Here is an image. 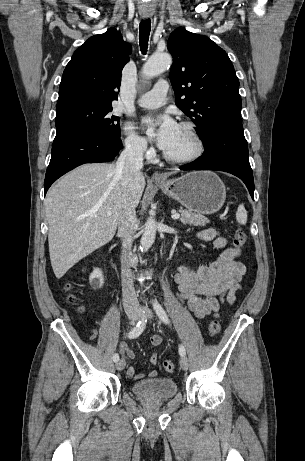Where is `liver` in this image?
<instances>
[{
    "label": "liver",
    "instance_id": "1",
    "mask_svg": "<svg viewBox=\"0 0 305 461\" xmlns=\"http://www.w3.org/2000/svg\"><path fill=\"white\" fill-rule=\"evenodd\" d=\"M115 169L114 164H84L48 191L45 212L56 278L113 238L126 203L138 206L146 184L144 176H135L124 188Z\"/></svg>",
    "mask_w": 305,
    "mask_h": 461
}]
</instances>
